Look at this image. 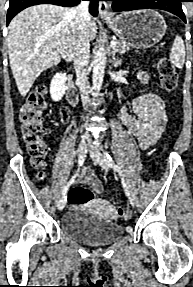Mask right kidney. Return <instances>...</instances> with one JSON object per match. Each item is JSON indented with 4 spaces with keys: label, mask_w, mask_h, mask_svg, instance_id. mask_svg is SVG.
Segmentation results:
<instances>
[{
    "label": "right kidney",
    "mask_w": 193,
    "mask_h": 287,
    "mask_svg": "<svg viewBox=\"0 0 193 287\" xmlns=\"http://www.w3.org/2000/svg\"><path fill=\"white\" fill-rule=\"evenodd\" d=\"M67 76L65 73H57L54 75L50 84V94L53 101H60L67 89Z\"/></svg>",
    "instance_id": "1"
}]
</instances>
